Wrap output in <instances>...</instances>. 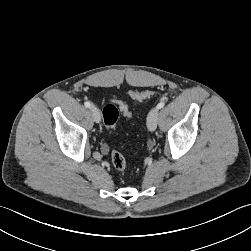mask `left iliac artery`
<instances>
[{
    "instance_id": "1",
    "label": "left iliac artery",
    "mask_w": 251,
    "mask_h": 251,
    "mask_svg": "<svg viewBox=\"0 0 251 251\" xmlns=\"http://www.w3.org/2000/svg\"><path fill=\"white\" fill-rule=\"evenodd\" d=\"M164 105H165L164 102H160V103L156 106V108H157V109H161V108L164 107Z\"/></svg>"
}]
</instances>
